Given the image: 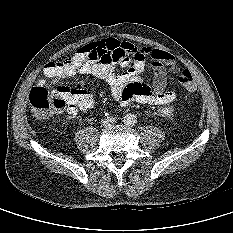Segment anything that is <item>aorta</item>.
Wrapping results in <instances>:
<instances>
[{
  "instance_id": "aorta-1",
  "label": "aorta",
  "mask_w": 233,
  "mask_h": 233,
  "mask_svg": "<svg viewBox=\"0 0 233 233\" xmlns=\"http://www.w3.org/2000/svg\"><path fill=\"white\" fill-rule=\"evenodd\" d=\"M123 122L125 125L134 126L137 123V117L134 114H127L124 116Z\"/></svg>"
}]
</instances>
